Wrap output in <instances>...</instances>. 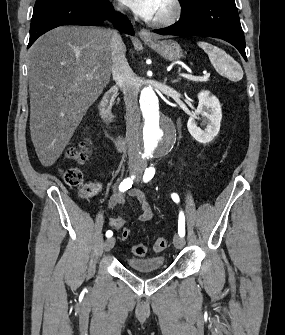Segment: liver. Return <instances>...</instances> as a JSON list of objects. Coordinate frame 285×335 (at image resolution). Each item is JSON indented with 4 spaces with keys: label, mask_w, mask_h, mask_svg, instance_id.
I'll list each match as a JSON object with an SVG mask.
<instances>
[{
    "label": "liver",
    "mask_w": 285,
    "mask_h": 335,
    "mask_svg": "<svg viewBox=\"0 0 285 335\" xmlns=\"http://www.w3.org/2000/svg\"><path fill=\"white\" fill-rule=\"evenodd\" d=\"M112 32L61 26L28 52L30 134L42 166H53L112 74ZM86 74H92L87 80Z\"/></svg>",
    "instance_id": "6515ba94"
}]
</instances>
